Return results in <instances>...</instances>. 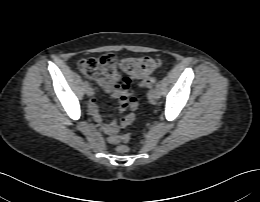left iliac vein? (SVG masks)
Returning <instances> with one entry per match:
<instances>
[{"mask_svg": "<svg viewBox=\"0 0 260 202\" xmlns=\"http://www.w3.org/2000/svg\"><path fill=\"white\" fill-rule=\"evenodd\" d=\"M150 98L154 100H158L160 98V90L158 88H154L149 93Z\"/></svg>", "mask_w": 260, "mask_h": 202, "instance_id": "obj_1", "label": "left iliac vein"}]
</instances>
